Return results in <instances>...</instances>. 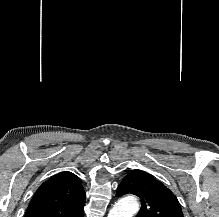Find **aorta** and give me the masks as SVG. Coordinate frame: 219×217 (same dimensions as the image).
<instances>
[{"instance_id": "762f6f07", "label": "aorta", "mask_w": 219, "mask_h": 217, "mask_svg": "<svg viewBox=\"0 0 219 217\" xmlns=\"http://www.w3.org/2000/svg\"><path fill=\"white\" fill-rule=\"evenodd\" d=\"M139 210V202L134 197L120 199L110 210L108 217H132Z\"/></svg>"}]
</instances>
